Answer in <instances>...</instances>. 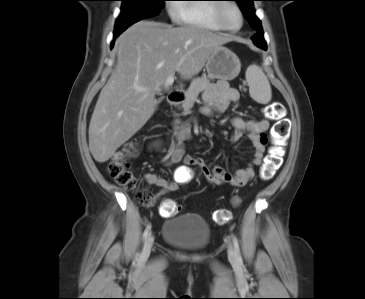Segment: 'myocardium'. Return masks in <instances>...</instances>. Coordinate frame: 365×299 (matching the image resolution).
<instances>
[{
  "mask_svg": "<svg viewBox=\"0 0 365 299\" xmlns=\"http://www.w3.org/2000/svg\"><path fill=\"white\" fill-rule=\"evenodd\" d=\"M232 6L234 7L240 16V25L237 28L228 27L224 23V13L227 9V7ZM215 20L218 23L221 30L230 32V33H236L238 32L244 25V13L241 9V7L233 0H226L225 2H221L218 4L216 11H215Z\"/></svg>",
  "mask_w": 365,
  "mask_h": 299,
  "instance_id": "obj_1",
  "label": "myocardium"
}]
</instances>
